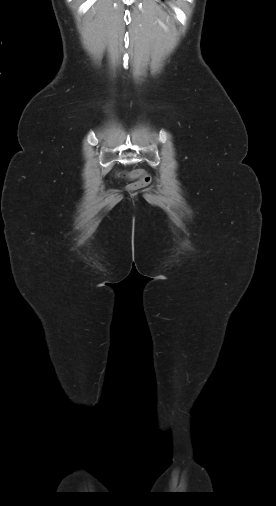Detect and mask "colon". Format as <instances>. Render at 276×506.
<instances>
[{
    "label": "colon",
    "instance_id": "1",
    "mask_svg": "<svg viewBox=\"0 0 276 506\" xmlns=\"http://www.w3.org/2000/svg\"><path fill=\"white\" fill-rule=\"evenodd\" d=\"M120 176L124 179H134L129 186L131 190H138L149 184L150 178L144 170H135L129 174L120 173Z\"/></svg>",
    "mask_w": 276,
    "mask_h": 506
}]
</instances>
